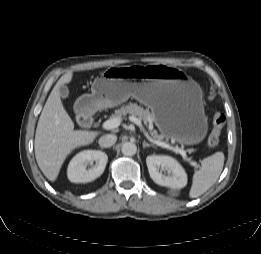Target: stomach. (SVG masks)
I'll use <instances>...</instances> for the list:
<instances>
[{
	"label": "stomach",
	"mask_w": 261,
	"mask_h": 254,
	"mask_svg": "<svg viewBox=\"0 0 261 254\" xmlns=\"http://www.w3.org/2000/svg\"><path fill=\"white\" fill-rule=\"evenodd\" d=\"M130 97L150 108L162 137L185 145L205 138L202 91L184 70L161 64L109 67L94 80L91 94L81 99L96 110L115 107Z\"/></svg>",
	"instance_id": "0dacf381"
}]
</instances>
